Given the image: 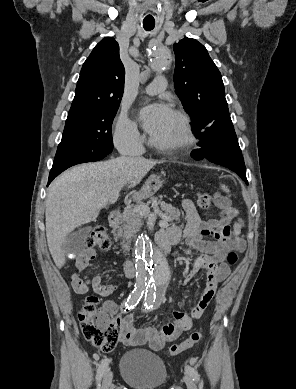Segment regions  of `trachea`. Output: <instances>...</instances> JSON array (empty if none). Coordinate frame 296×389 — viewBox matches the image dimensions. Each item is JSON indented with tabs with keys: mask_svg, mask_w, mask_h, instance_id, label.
Masks as SVG:
<instances>
[{
	"mask_svg": "<svg viewBox=\"0 0 296 389\" xmlns=\"http://www.w3.org/2000/svg\"><path fill=\"white\" fill-rule=\"evenodd\" d=\"M155 24L152 23H143V27L146 31H150L154 28Z\"/></svg>",
	"mask_w": 296,
	"mask_h": 389,
	"instance_id": "obj_1",
	"label": "trachea"
}]
</instances>
